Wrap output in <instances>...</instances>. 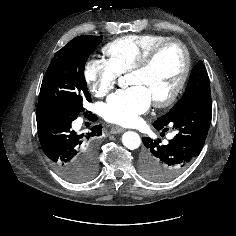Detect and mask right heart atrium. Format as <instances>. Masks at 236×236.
Masks as SVG:
<instances>
[{"instance_id": "d8ad5b80", "label": "right heart atrium", "mask_w": 236, "mask_h": 236, "mask_svg": "<svg viewBox=\"0 0 236 236\" xmlns=\"http://www.w3.org/2000/svg\"><path fill=\"white\" fill-rule=\"evenodd\" d=\"M119 75L112 63L101 57L89 58L84 65V80L96 97H104L111 92Z\"/></svg>"}]
</instances>
